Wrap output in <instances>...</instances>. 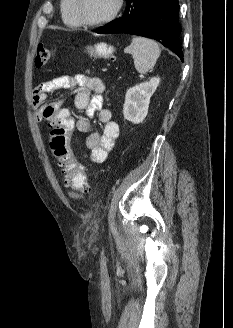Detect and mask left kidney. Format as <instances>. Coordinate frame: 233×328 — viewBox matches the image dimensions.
<instances>
[{"mask_svg": "<svg viewBox=\"0 0 233 328\" xmlns=\"http://www.w3.org/2000/svg\"><path fill=\"white\" fill-rule=\"evenodd\" d=\"M160 83L159 77L140 83L128 89L123 105L124 118L134 124L141 123L148 113L150 98Z\"/></svg>", "mask_w": 233, "mask_h": 328, "instance_id": "left-kidney-1", "label": "left kidney"}]
</instances>
